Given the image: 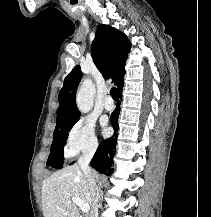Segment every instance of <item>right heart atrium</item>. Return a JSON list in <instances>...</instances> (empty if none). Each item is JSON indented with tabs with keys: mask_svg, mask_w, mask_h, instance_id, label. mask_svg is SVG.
I'll list each match as a JSON object with an SVG mask.
<instances>
[{
	"mask_svg": "<svg viewBox=\"0 0 211 217\" xmlns=\"http://www.w3.org/2000/svg\"><path fill=\"white\" fill-rule=\"evenodd\" d=\"M98 146L94 124L86 119H79L69 130L65 141V154L69 157L80 152H93Z\"/></svg>",
	"mask_w": 211,
	"mask_h": 217,
	"instance_id": "1",
	"label": "right heart atrium"
}]
</instances>
